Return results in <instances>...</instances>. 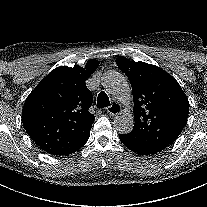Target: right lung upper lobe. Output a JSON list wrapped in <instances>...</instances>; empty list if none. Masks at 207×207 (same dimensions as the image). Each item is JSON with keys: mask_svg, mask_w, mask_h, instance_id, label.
<instances>
[{"mask_svg": "<svg viewBox=\"0 0 207 207\" xmlns=\"http://www.w3.org/2000/svg\"><path fill=\"white\" fill-rule=\"evenodd\" d=\"M99 61L86 66H61L50 72L29 94L22 121L31 139L45 152L68 155L89 139L95 116L89 112L93 102L86 79L97 69Z\"/></svg>", "mask_w": 207, "mask_h": 207, "instance_id": "1", "label": "right lung upper lobe"}]
</instances>
